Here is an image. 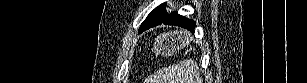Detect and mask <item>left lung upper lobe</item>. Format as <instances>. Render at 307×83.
<instances>
[{
    "label": "left lung upper lobe",
    "instance_id": "5c2ea615",
    "mask_svg": "<svg viewBox=\"0 0 307 83\" xmlns=\"http://www.w3.org/2000/svg\"><path fill=\"white\" fill-rule=\"evenodd\" d=\"M165 7H166V3L160 4L154 10H152L150 14L147 16V18L145 19V21L140 26V28L146 25H149V24L156 23L162 20L163 18H165L166 16H168V13L166 12Z\"/></svg>",
    "mask_w": 307,
    "mask_h": 83
}]
</instances>
